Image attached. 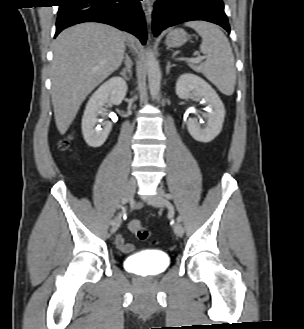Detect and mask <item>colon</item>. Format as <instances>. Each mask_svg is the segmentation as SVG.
I'll use <instances>...</instances> for the list:
<instances>
[{
    "mask_svg": "<svg viewBox=\"0 0 304 329\" xmlns=\"http://www.w3.org/2000/svg\"><path fill=\"white\" fill-rule=\"evenodd\" d=\"M70 147V139L65 138L60 141L58 149L60 151H67ZM129 230L139 239L146 240L149 236L146 228L138 220H131L128 224Z\"/></svg>",
    "mask_w": 304,
    "mask_h": 329,
    "instance_id": "colon-1",
    "label": "colon"
}]
</instances>
